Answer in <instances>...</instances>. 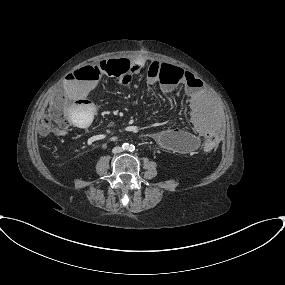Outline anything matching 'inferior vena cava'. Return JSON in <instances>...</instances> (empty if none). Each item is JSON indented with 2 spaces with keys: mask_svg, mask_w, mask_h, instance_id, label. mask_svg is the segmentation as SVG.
<instances>
[{
  "mask_svg": "<svg viewBox=\"0 0 285 285\" xmlns=\"http://www.w3.org/2000/svg\"><path fill=\"white\" fill-rule=\"evenodd\" d=\"M122 151H123L122 147H119V146L114 147L113 150H112V152L115 153V154L116 153H120Z\"/></svg>",
  "mask_w": 285,
  "mask_h": 285,
  "instance_id": "602c4592",
  "label": "inferior vena cava"
}]
</instances>
